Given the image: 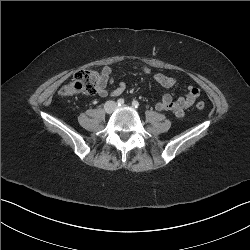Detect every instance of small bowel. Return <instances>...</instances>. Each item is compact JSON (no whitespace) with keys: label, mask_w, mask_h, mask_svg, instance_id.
<instances>
[{"label":"small bowel","mask_w":250,"mask_h":250,"mask_svg":"<svg viewBox=\"0 0 250 250\" xmlns=\"http://www.w3.org/2000/svg\"><path fill=\"white\" fill-rule=\"evenodd\" d=\"M142 73L150 76L152 81L164 88H173L177 84L175 77L166 76L161 73H153L151 69L145 65L136 66ZM113 84L112 69L104 66L101 70V80L97 88V94L100 97H116L121 95L126 88L125 83L120 82L116 88L109 90L108 86ZM200 96V90L197 87L189 86L185 96H181L174 100L170 94H164L161 99L155 103L158 111H171L177 117H183L194 101Z\"/></svg>","instance_id":"1"}]
</instances>
